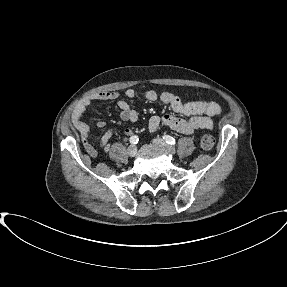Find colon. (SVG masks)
<instances>
[{"label": "colon", "mask_w": 287, "mask_h": 287, "mask_svg": "<svg viewBox=\"0 0 287 287\" xmlns=\"http://www.w3.org/2000/svg\"><path fill=\"white\" fill-rule=\"evenodd\" d=\"M215 144L214 137L210 134H204L201 138V147L205 150H210Z\"/></svg>", "instance_id": "1"}]
</instances>
